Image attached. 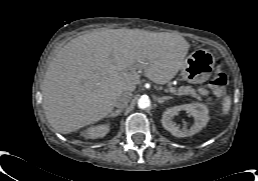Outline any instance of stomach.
<instances>
[{
    "label": "stomach",
    "instance_id": "stomach-1",
    "mask_svg": "<svg viewBox=\"0 0 258 181\" xmlns=\"http://www.w3.org/2000/svg\"><path fill=\"white\" fill-rule=\"evenodd\" d=\"M215 64L214 55L205 49L194 50L185 60L181 68V77L191 84L207 81Z\"/></svg>",
    "mask_w": 258,
    "mask_h": 181
}]
</instances>
